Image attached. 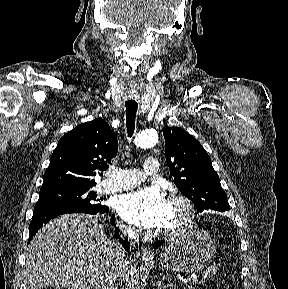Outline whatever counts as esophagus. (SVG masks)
<instances>
[{
  "label": "esophagus",
  "instance_id": "esophagus-1",
  "mask_svg": "<svg viewBox=\"0 0 288 289\" xmlns=\"http://www.w3.org/2000/svg\"><path fill=\"white\" fill-rule=\"evenodd\" d=\"M136 256L141 260H151L153 258V254L143 246L137 248Z\"/></svg>",
  "mask_w": 288,
  "mask_h": 289
}]
</instances>
